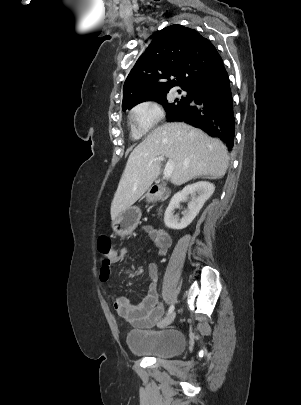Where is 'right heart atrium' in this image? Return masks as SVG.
I'll use <instances>...</instances> for the list:
<instances>
[{"label":"right heart atrium","mask_w":301,"mask_h":405,"mask_svg":"<svg viewBox=\"0 0 301 405\" xmlns=\"http://www.w3.org/2000/svg\"><path fill=\"white\" fill-rule=\"evenodd\" d=\"M164 117V112L160 105L153 101H143L135 105L130 118L134 128L145 133L157 125Z\"/></svg>","instance_id":"right-heart-atrium-1"}]
</instances>
